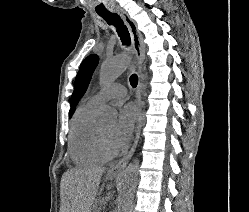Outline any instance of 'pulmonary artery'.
I'll use <instances>...</instances> for the list:
<instances>
[{"label": "pulmonary artery", "mask_w": 249, "mask_h": 212, "mask_svg": "<svg viewBox=\"0 0 249 212\" xmlns=\"http://www.w3.org/2000/svg\"><path fill=\"white\" fill-rule=\"evenodd\" d=\"M126 93L127 90L125 86L118 82H115L100 90L95 95L91 96L89 101L96 106H99L104 101L123 98L126 96Z\"/></svg>", "instance_id": "pulmonary-artery-1"}]
</instances>
